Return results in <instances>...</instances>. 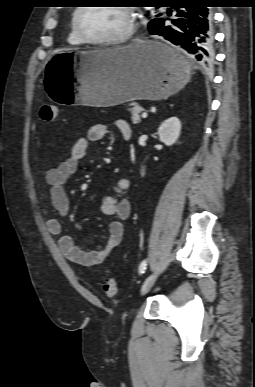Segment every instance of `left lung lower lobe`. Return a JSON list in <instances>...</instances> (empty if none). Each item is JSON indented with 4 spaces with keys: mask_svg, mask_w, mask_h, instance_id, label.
Instances as JSON below:
<instances>
[{
    "mask_svg": "<svg viewBox=\"0 0 255 387\" xmlns=\"http://www.w3.org/2000/svg\"><path fill=\"white\" fill-rule=\"evenodd\" d=\"M214 0H179L171 8L178 9L177 4H185L184 10H178L177 19L172 26L165 25V20L156 18L149 22L150 34L163 36L178 48L188 52L201 66H208L214 58L213 13L210 4ZM170 15L171 12L168 11Z\"/></svg>",
    "mask_w": 255,
    "mask_h": 387,
    "instance_id": "obj_1",
    "label": "left lung lower lobe"
}]
</instances>
